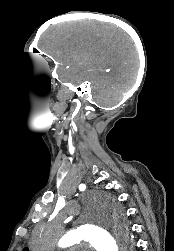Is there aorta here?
I'll return each instance as SVG.
<instances>
[{"label":"aorta","mask_w":174,"mask_h":251,"mask_svg":"<svg viewBox=\"0 0 174 251\" xmlns=\"http://www.w3.org/2000/svg\"><path fill=\"white\" fill-rule=\"evenodd\" d=\"M42 238L48 240L50 247L65 248L88 242L97 251H129L130 233L121 222L116 223L112 218L103 215L98 203L92 201L85 212L84 223L59 238L60 233L53 227L41 231Z\"/></svg>","instance_id":"obj_1"}]
</instances>
